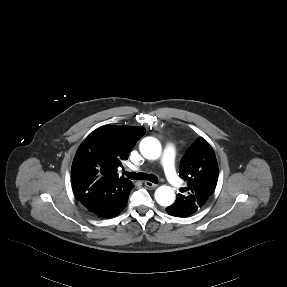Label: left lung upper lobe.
<instances>
[{
  "label": "left lung upper lobe",
  "instance_id": "1",
  "mask_svg": "<svg viewBox=\"0 0 287 287\" xmlns=\"http://www.w3.org/2000/svg\"><path fill=\"white\" fill-rule=\"evenodd\" d=\"M179 176L186 181L175 203L196 212L213 193L218 180V165L212 147L199 137L186 151L180 163Z\"/></svg>",
  "mask_w": 287,
  "mask_h": 287
}]
</instances>
